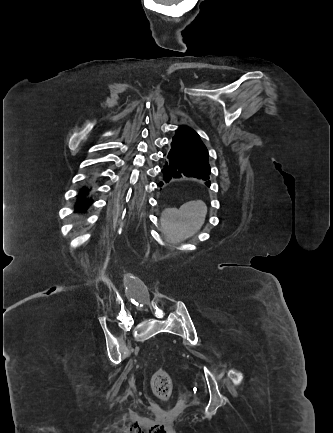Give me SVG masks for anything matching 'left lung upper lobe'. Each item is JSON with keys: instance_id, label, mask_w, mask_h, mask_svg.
Instances as JSON below:
<instances>
[{"instance_id": "obj_1", "label": "left lung upper lobe", "mask_w": 333, "mask_h": 433, "mask_svg": "<svg viewBox=\"0 0 333 433\" xmlns=\"http://www.w3.org/2000/svg\"><path fill=\"white\" fill-rule=\"evenodd\" d=\"M173 140L182 143L200 156L208 159V151L201 141L200 136L193 129L187 126H181L173 136Z\"/></svg>"}]
</instances>
